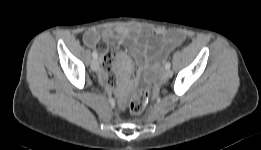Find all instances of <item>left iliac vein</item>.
Segmentation results:
<instances>
[{"label": "left iliac vein", "mask_w": 261, "mask_h": 150, "mask_svg": "<svg viewBox=\"0 0 261 150\" xmlns=\"http://www.w3.org/2000/svg\"><path fill=\"white\" fill-rule=\"evenodd\" d=\"M173 76V72L170 69H167L164 73L165 78H171Z\"/></svg>", "instance_id": "4c4485c4"}]
</instances>
